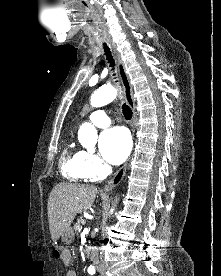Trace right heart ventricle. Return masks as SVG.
Instances as JSON below:
<instances>
[{
  "mask_svg": "<svg viewBox=\"0 0 221 276\" xmlns=\"http://www.w3.org/2000/svg\"><path fill=\"white\" fill-rule=\"evenodd\" d=\"M60 168L64 177L72 181L86 178L82 166V151L76 150L67 144L62 152Z\"/></svg>",
  "mask_w": 221,
  "mask_h": 276,
  "instance_id": "right-heart-ventricle-1",
  "label": "right heart ventricle"
}]
</instances>
